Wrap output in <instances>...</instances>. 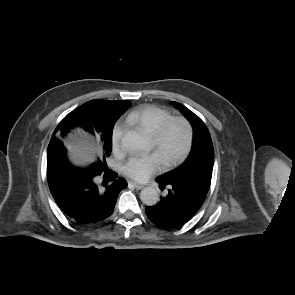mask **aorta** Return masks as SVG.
Returning a JSON list of instances; mask_svg holds the SVG:
<instances>
[{
    "label": "aorta",
    "mask_w": 295,
    "mask_h": 295,
    "mask_svg": "<svg viewBox=\"0 0 295 295\" xmlns=\"http://www.w3.org/2000/svg\"><path fill=\"white\" fill-rule=\"evenodd\" d=\"M122 147L129 151L142 150L146 146V140L135 131L127 132L122 140ZM141 201L147 206H154L159 202V194L155 188L147 187L140 192Z\"/></svg>",
    "instance_id": "1"
}]
</instances>
